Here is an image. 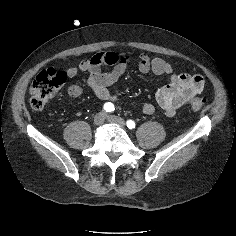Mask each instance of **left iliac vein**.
<instances>
[{
    "label": "left iliac vein",
    "mask_w": 236,
    "mask_h": 236,
    "mask_svg": "<svg viewBox=\"0 0 236 236\" xmlns=\"http://www.w3.org/2000/svg\"><path fill=\"white\" fill-rule=\"evenodd\" d=\"M107 120L110 123H114V124L119 125L120 127H125V125H126L125 121L122 118L115 116V115L107 116Z\"/></svg>",
    "instance_id": "left-iliac-vein-1"
}]
</instances>
